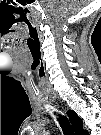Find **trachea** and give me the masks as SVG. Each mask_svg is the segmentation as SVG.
Here are the masks:
<instances>
[{
    "label": "trachea",
    "mask_w": 101,
    "mask_h": 135,
    "mask_svg": "<svg viewBox=\"0 0 101 135\" xmlns=\"http://www.w3.org/2000/svg\"><path fill=\"white\" fill-rule=\"evenodd\" d=\"M58 120H59V124L62 128L64 135H73L74 134L73 128H72L69 120L65 116H60L58 118Z\"/></svg>",
    "instance_id": "3493384b"
}]
</instances>
